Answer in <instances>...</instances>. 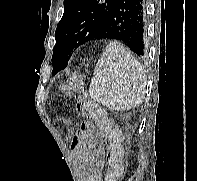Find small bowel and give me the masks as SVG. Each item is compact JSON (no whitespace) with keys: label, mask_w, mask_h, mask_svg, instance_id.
Listing matches in <instances>:
<instances>
[{"label":"small bowel","mask_w":197,"mask_h":181,"mask_svg":"<svg viewBox=\"0 0 197 181\" xmlns=\"http://www.w3.org/2000/svg\"><path fill=\"white\" fill-rule=\"evenodd\" d=\"M72 148L83 163L82 178L84 181H101V143L93 124L82 123L80 131L72 139Z\"/></svg>","instance_id":"c3829d8e"}]
</instances>
